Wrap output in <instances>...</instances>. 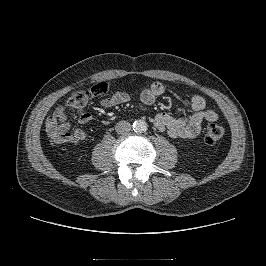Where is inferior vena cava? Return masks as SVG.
Segmentation results:
<instances>
[{"label": "inferior vena cava", "mask_w": 266, "mask_h": 266, "mask_svg": "<svg viewBox=\"0 0 266 266\" xmlns=\"http://www.w3.org/2000/svg\"><path fill=\"white\" fill-rule=\"evenodd\" d=\"M115 130L118 134H126L131 130V125L127 121H120L116 124Z\"/></svg>", "instance_id": "602c4592"}]
</instances>
